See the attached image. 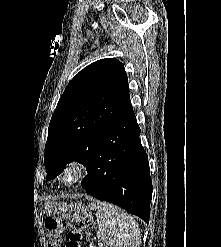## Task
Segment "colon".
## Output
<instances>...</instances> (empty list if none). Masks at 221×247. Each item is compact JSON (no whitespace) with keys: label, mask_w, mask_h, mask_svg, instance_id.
I'll return each mask as SVG.
<instances>
[{"label":"colon","mask_w":221,"mask_h":247,"mask_svg":"<svg viewBox=\"0 0 221 247\" xmlns=\"http://www.w3.org/2000/svg\"><path fill=\"white\" fill-rule=\"evenodd\" d=\"M85 221L76 214L60 215L45 220V228L48 232L47 247H60L62 235L67 230V247H79Z\"/></svg>","instance_id":"1"}]
</instances>
